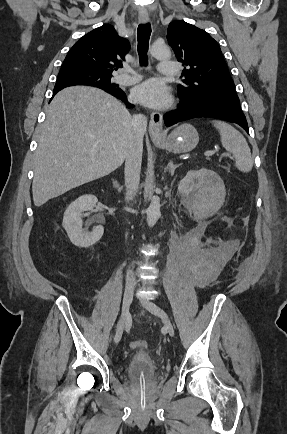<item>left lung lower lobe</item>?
I'll return each instance as SVG.
<instances>
[{"label": "left lung lower lobe", "mask_w": 287, "mask_h": 434, "mask_svg": "<svg viewBox=\"0 0 287 434\" xmlns=\"http://www.w3.org/2000/svg\"><path fill=\"white\" fill-rule=\"evenodd\" d=\"M180 99L178 109L164 115L167 127L191 118L210 117L237 123L249 133L239 100L204 97H180Z\"/></svg>", "instance_id": "obj_1"}]
</instances>
